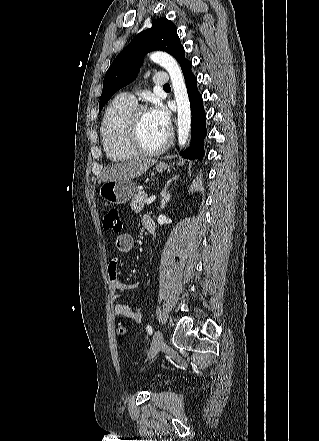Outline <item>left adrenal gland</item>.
Masks as SVG:
<instances>
[{"label": "left adrenal gland", "mask_w": 319, "mask_h": 441, "mask_svg": "<svg viewBox=\"0 0 319 441\" xmlns=\"http://www.w3.org/2000/svg\"><path fill=\"white\" fill-rule=\"evenodd\" d=\"M177 179H178V176L173 177L172 179H170V180L166 183L165 187L162 189V192H161V206H160V209L165 208L167 202H169V200H170L172 194H171L170 191H168V188H169L170 184L172 183V181L177 180Z\"/></svg>", "instance_id": "obj_1"}]
</instances>
